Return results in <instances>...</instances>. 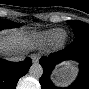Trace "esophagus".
Listing matches in <instances>:
<instances>
[{"instance_id":"1","label":"esophagus","mask_w":89,"mask_h":89,"mask_svg":"<svg viewBox=\"0 0 89 89\" xmlns=\"http://www.w3.org/2000/svg\"><path fill=\"white\" fill-rule=\"evenodd\" d=\"M31 58H32L33 63H37L39 61L38 55H32Z\"/></svg>"}]
</instances>
